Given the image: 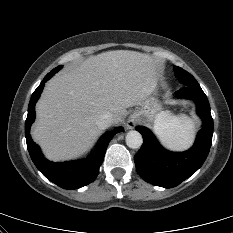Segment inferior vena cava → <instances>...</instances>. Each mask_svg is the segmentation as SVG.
<instances>
[{
	"instance_id": "1",
	"label": "inferior vena cava",
	"mask_w": 233,
	"mask_h": 233,
	"mask_svg": "<svg viewBox=\"0 0 233 233\" xmlns=\"http://www.w3.org/2000/svg\"><path fill=\"white\" fill-rule=\"evenodd\" d=\"M113 120V115L110 112H106L99 117L96 124L100 129H105L113 123Z\"/></svg>"
}]
</instances>
